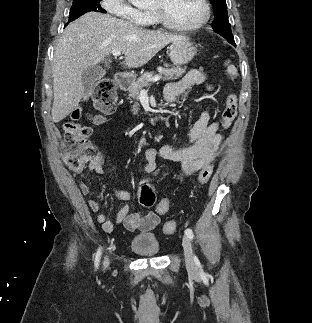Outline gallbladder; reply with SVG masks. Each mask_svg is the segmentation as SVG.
Instances as JSON below:
<instances>
[{
	"instance_id": "obj_1",
	"label": "gallbladder",
	"mask_w": 312,
	"mask_h": 323,
	"mask_svg": "<svg viewBox=\"0 0 312 323\" xmlns=\"http://www.w3.org/2000/svg\"><path fill=\"white\" fill-rule=\"evenodd\" d=\"M104 74V70L99 68V66H90V68H86V70H84L82 76L84 100H88L91 92H93V88L97 80H100Z\"/></svg>"
}]
</instances>
